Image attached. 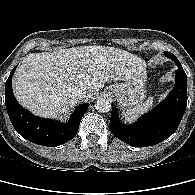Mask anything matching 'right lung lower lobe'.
<instances>
[{
  "mask_svg": "<svg viewBox=\"0 0 195 195\" xmlns=\"http://www.w3.org/2000/svg\"><path fill=\"white\" fill-rule=\"evenodd\" d=\"M16 66L10 73L5 85L6 109L14 129L25 139L38 145L56 147L75 137L80 121L88 109V103L79 105L66 124L55 120L34 116L17 102L12 90V76Z\"/></svg>",
  "mask_w": 195,
  "mask_h": 195,
  "instance_id": "obj_1",
  "label": "right lung lower lobe"
}]
</instances>
